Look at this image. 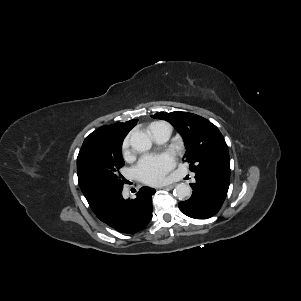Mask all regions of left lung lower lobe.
Masks as SVG:
<instances>
[{
  "mask_svg": "<svg viewBox=\"0 0 301 301\" xmlns=\"http://www.w3.org/2000/svg\"><path fill=\"white\" fill-rule=\"evenodd\" d=\"M196 182L190 184L192 196L179 202L180 210L195 219H207L221 208L229 188V180L208 173H196Z\"/></svg>",
  "mask_w": 301,
  "mask_h": 301,
  "instance_id": "left-lung-lower-lobe-1",
  "label": "left lung lower lobe"
}]
</instances>
